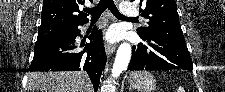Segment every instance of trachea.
Segmentation results:
<instances>
[{
	"label": "trachea",
	"mask_w": 225,
	"mask_h": 92,
	"mask_svg": "<svg viewBox=\"0 0 225 92\" xmlns=\"http://www.w3.org/2000/svg\"><path fill=\"white\" fill-rule=\"evenodd\" d=\"M106 8H108L115 17L126 18L119 12L113 0H100V2L95 7L86 9L85 12L91 14L92 19H95L99 18Z\"/></svg>",
	"instance_id": "obj_1"
}]
</instances>
